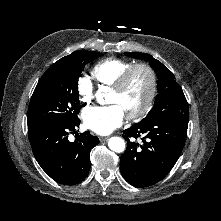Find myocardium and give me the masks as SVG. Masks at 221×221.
Here are the masks:
<instances>
[{"label": "myocardium", "instance_id": "obj_1", "mask_svg": "<svg viewBox=\"0 0 221 221\" xmlns=\"http://www.w3.org/2000/svg\"><path fill=\"white\" fill-rule=\"evenodd\" d=\"M138 70L144 71L147 74L149 89L143 105L138 110L127 114V117L130 120L142 118L151 109L156 98L158 88V79L156 72L150 65L146 63H135L128 67L118 78L117 82L112 86L113 91L117 93H123L126 90L132 75Z\"/></svg>", "mask_w": 221, "mask_h": 221}]
</instances>
